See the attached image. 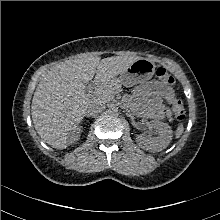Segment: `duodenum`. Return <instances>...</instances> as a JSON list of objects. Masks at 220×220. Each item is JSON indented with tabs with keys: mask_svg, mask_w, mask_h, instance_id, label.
Here are the masks:
<instances>
[{
	"mask_svg": "<svg viewBox=\"0 0 220 220\" xmlns=\"http://www.w3.org/2000/svg\"><path fill=\"white\" fill-rule=\"evenodd\" d=\"M98 81L97 80H94L92 83H91V88H94V87H96L97 85H98Z\"/></svg>",
	"mask_w": 220,
	"mask_h": 220,
	"instance_id": "410a0bca",
	"label": "duodenum"
}]
</instances>
